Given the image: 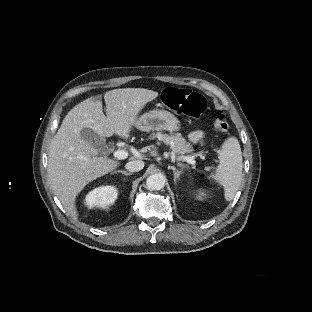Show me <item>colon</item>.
Instances as JSON below:
<instances>
[{
	"label": "colon",
	"mask_w": 312,
	"mask_h": 312,
	"mask_svg": "<svg viewBox=\"0 0 312 312\" xmlns=\"http://www.w3.org/2000/svg\"><path fill=\"white\" fill-rule=\"evenodd\" d=\"M164 103L167 107L195 119L199 118L206 108L205 98L188 89L167 88L164 94ZM211 124L213 128L220 131H227L229 127L224 114L214 115Z\"/></svg>",
	"instance_id": "5ec220e1"
}]
</instances>
